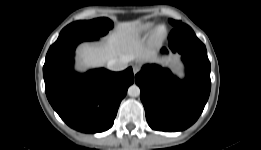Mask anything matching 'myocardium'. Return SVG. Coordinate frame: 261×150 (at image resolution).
Listing matches in <instances>:
<instances>
[{
    "mask_svg": "<svg viewBox=\"0 0 261 150\" xmlns=\"http://www.w3.org/2000/svg\"><path fill=\"white\" fill-rule=\"evenodd\" d=\"M167 35V27L164 24H159L152 31V40L155 42L162 41Z\"/></svg>",
    "mask_w": 261,
    "mask_h": 150,
    "instance_id": "1",
    "label": "myocardium"
}]
</instances>
